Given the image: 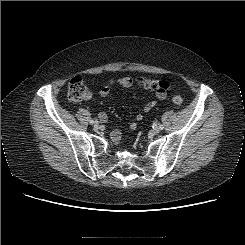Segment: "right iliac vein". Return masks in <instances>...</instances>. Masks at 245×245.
I'll return each instance as SVG.
<instances>
[{
  "instance_id": "63e3f726",
  "label": "right iliac vein",
  "mask_w": 245,
  "mask_h": 245,
  "mask_svg": "<svg viewBox=\"0 0 245 245\" xmlns=\"http://www.w3.org/2000/svg\"><path fill=\"white\" fill-rule=\"evenodd\" d=\"M94 127H98L99 126V123L96 121L95 123H93Z\"/></svg>"
}]
</instances>
